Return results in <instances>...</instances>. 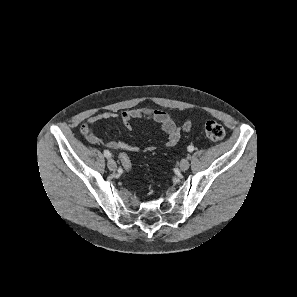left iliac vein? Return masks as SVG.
<instances>
[{
    "instance_id": "left-iliac-vein-1",
    "label": "left iliac vein",
    "mask_w": 297,
    "mask_h": 297,
    "mask_svg": "<svg viewBox=\"0 0 297 297\" xmlns=\"http://www.w3.org/2000/svg\"><path fill=\"white\" fill-rule=\"evenodd\" d=\"M189 160L184 158L180 161L179 167L182 171H185L189 168Z\"/></svg>"
}]
</instances>
